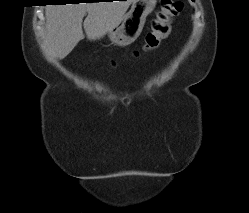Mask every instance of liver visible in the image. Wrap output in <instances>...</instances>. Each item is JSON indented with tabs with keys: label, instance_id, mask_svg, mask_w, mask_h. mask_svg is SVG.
<instances>
[{
	"label": "liver",
	"instance_id": "1",
	"mask_svg": "<svg viewBox=\"0 0 249 213\" xmlns=\"http://www.w3.org/2000/svg\"><path fill=\"white\" fill-rule=\"evenodd\" d=\"M133 0L79 4L47 5L46 43L59 59H64L84 38L83 27L89 40L102 38L122 20Z\"/></svg>",
	"mask_w": 249,
	"mask_h": 213
}]
</instances>
